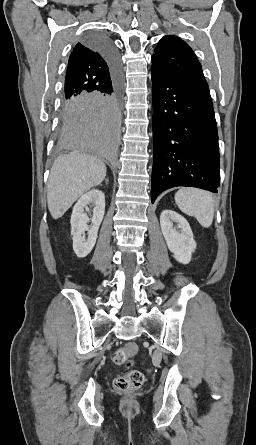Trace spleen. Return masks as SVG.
Here are the masks:
<instances>
[{"label": "spleen", "instance_id": "3e777b00", "mask_svg": "<svg viewBox=\"0 0 256 445\" xmlns=\"http://www.w3.org/2000/svg\"><path fill=\"white\" fill-rule=\"evenodd\" d=\"M179 209L194 216L205 228L211 226L214 217V200L209 192L196 188H181L175 194Z\"/></svg>", "mask_w": 256, "mask_h": 445}]
</instances>
